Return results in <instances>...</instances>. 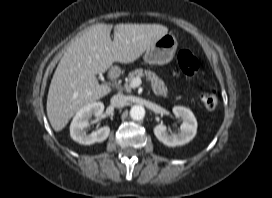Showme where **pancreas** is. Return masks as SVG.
<instances>
[{
	"mask_svg": "<svg viewBox=\"0 0 272 198\" xmlns=\"http://www.w3.org/2000/svg\"><path fill=\"white\" fill-rule=\"evenodd\" d=\"M135 77H145L148 81L151 82V86L156 94L161 95L165 98L168 97V90L163 80H161L154 72L150 70H143L142 68L135 69L134 71L129 73L125 85V88L128 92L131 91L130 83Z\"/></svg>",
	"mask_w": 272,
	"mask_h": 198,
	"instance_id": "pancreas-1",
	"label": "pancreas"
}]
</instances>
